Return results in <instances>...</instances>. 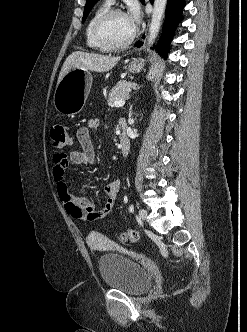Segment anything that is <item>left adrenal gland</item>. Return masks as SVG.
<instances>
[{
  "label": "left adrenal gland",
  "mask_w": 247,
  "mask_h": 332,
  "mask_svg": "<svg viewBox=\"0 0 247 332\" xmlns=\"http://www.w3.org/2000/svg\"><path fill=\"white\" fill-rule=\"evenodd\" d=\"M132 112H133V111H132V106H131V107H130V115H132Z\"/></svg>",
  "instance_id": "1"
}]
</instances>
